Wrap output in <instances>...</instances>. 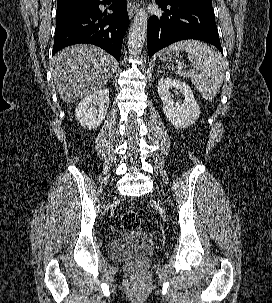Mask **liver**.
Returning <instances> with one entry per match:
<instances>
[{
  "instance_id": "6515ba94",
  "label": "liver",
  "mask_w": 272,
  "mask_h": 303,
  "mask_svg": "<svg viewBox=\"0 0 272 303\" xmlns=\"http://www.w3.org/2000/svg\"><path fill=\"white\" fill-rule=\"evenodd\" d=\"M53 66L52 77L60 98L73 103L106 85L117 62L99 47L80 44L56 53Z\"/></svg>"
}]
</instances>
